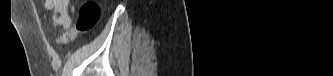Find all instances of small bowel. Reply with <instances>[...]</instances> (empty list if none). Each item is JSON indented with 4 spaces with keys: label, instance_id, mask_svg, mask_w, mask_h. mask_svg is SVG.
Returning <instances> with one entry per match:
<instances>
[{
    "label": "small bowel",
    "instance_id": "c3829d8e",
    "mask_svg": "<svg viewBox=\"0 0 333 76\" xmlns=\"http://www.w3.org/2000/svg\"><path fill=\"white\" fill-rule=\"evenodd\" d=\"M69 0H46L45 8L53 14L54 27L70 29L72 19L69 12Z\"/></svg>",
    "mask_w": 333,
    "mask_h": 76
}]
</instances>
